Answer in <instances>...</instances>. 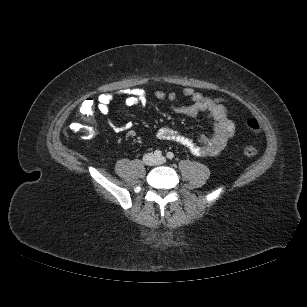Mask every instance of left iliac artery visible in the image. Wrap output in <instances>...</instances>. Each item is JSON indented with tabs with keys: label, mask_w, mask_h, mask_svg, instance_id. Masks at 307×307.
<instances>
[{
	"label": "left iliac artery",
	"mask_w": 307,
	"mask_h": 307,
	"mask_svg": "<svg viewBox=\"0 0 307 307\" xmlns=\"http://www.w3.org/2000/svg\"><path fill=\"white\" fill-rule=\"evenodd\" d=\"M166 157H167L168 159L172 160V159L174 158V154H173L172 152H168V153L166 154Z\"/></svg>",
	"instance_id": "44dca946"
}]
</instances>
